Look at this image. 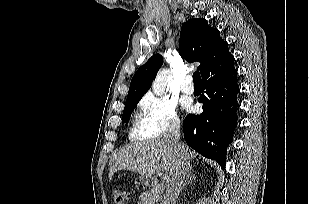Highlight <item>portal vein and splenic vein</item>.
Wrapping results in <instances>:
<instances>
[{
  "instance_id": "1",
  "label": "portal vein and splenic vein",
  "mask_w": 309,
  "mask_h": 204,
  "mask_svg": "<svg viewBox=\"0 0 309 204\" xmlns=\"http://www.w3.org/2000/svg\"><path fill=\"white\" fill-rule=\"evenodd\" d=\"M169 177L167 175L164 176L163 180L168 181Z\"/></svg>"
}]
</instances>
